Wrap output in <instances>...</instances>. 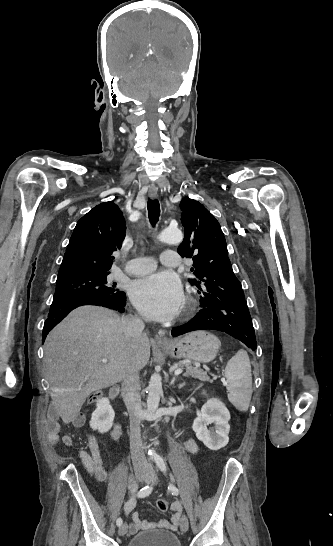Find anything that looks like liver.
<instances>
[{"mask_svg": "<svg viewBox=\"0 0 333 546\" xmlns=\"http://www.w3.org/2000/svg\"><path fill=\"white\" fill-rule=\"evenodd\" d=\"M149 357L147 335L128 340L114 311L83 306L69 313L44 344L52 402L63 422L76 419L91 392L121 382L130 369L141 370Z\"/></svg>", "mask_w": 333, "mask_h": 546, "instance_id": "obj_1", "label": "liver"}]
</instances>
